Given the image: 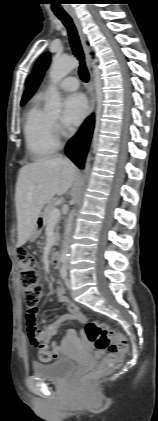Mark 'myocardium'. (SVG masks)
<instances>
[{
    "label": "myocardium",
    "instance_id": "myocardium-1",
    "mask_svg": "<svg viewBox=\"0 0 158 421\" xmlns=\"http://www.w3.org/2000/svg\"><path fill=\"white\" fill-rule=\"evenodd\" d=\"M52 122L55 125L56 124V120L52 118Z\"/></svg>",
    "mask_w": 158,
    "mask_h": 421
}]
</instances>
